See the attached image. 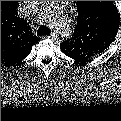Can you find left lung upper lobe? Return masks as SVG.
<instances>
[{
  "instance_id": "1",
  "label": "left lung upper lobe",
  "mask_w": 121,
  "mask_h": 121,
  "mask_svg": "<svg viewBox=\"0 0 121 121\" xmlns=\"http://www.w3.org/2000/svg\"><path fill=\"white\" fill-rule=\"evenodd\" d=\"M78 18L71 41L62 42L61 50L72 58L104 51L119 28V15L109 1H78Z\"/></svg>"
}]
</instances>
